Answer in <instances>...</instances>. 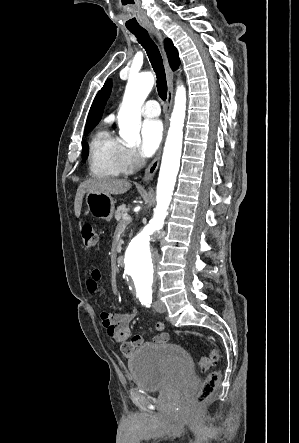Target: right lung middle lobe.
I'll use <instances>...</instances> for the list:
<instances>
[{
	"label": "right lung middle lobe",
	"instance_id": "1",
	"mask_svg": "<svg viewBox=\"0 0 299 443\" xmlns=\"http://www.w3.org/2000/svg\"><path fill=\"white\" fill-rule=\"evenodd\" d=\"M96 125H97V124L90 125V126H86V127H85V134H88L90 131H92L93 128H94ZM88 153H89V151H88V145H87V143L84 142L83 145H82V158H83L84 161H85L86 158L88 157Z\"/></svg>",
	"mask_w": 299,
	"mask_h": 443
}]
</instances>
